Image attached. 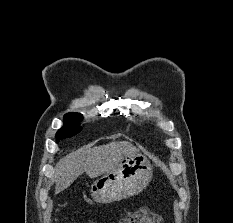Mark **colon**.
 <instances>
[{
	"label": "colon",
	"mask_w": 233,
	"mask_h": 223,
	"mask_svg": "<svg viewBox=\"0 0 233 223\" xmlns=\"http://www.w3.org/2000/svg\"><path fill=\"white\" fill-rule=\"evenodd\" d=\"M161 220L151 217L150 213L133 214L123 219L121 223H160Z\"/></svg>",
	"instance_id": "colon-1"
}]
</instances>
